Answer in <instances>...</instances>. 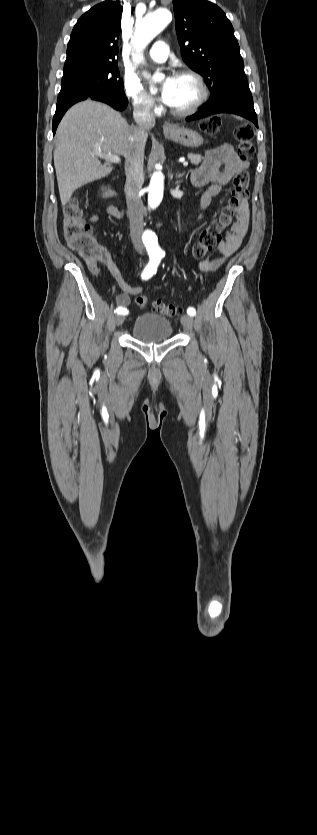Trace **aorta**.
Wrapping results in <instances>:
<instances>
[{"label":"aorta","instance_id":"1","mask_svg":"<svg viewBox=\"0 0 317 835\" xmlns=\"http://www.w3.org/2000/svg\"><path fill=\"white\" fill-rule=\"evenodd\" d=\"M171 20L172 12L168 8H158L146 14L138 21L134 35L131 39V43L135 49V53L133 55V60L135 62L140 63L144 60V49ZM143 75L145 78L155 81H159L164 77L162 74H155L151 76L150 74L143 73ZM163 190V175L160 171H154L149 185L148 205L150 207L155 208L161 203L163 199ZM147 239L152 245H157L156 235L153 231H147Z\"/></svg>","mask_w":317,"mask_h":835}]
</instances>
